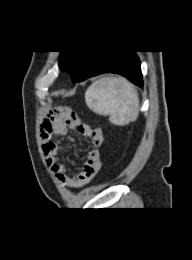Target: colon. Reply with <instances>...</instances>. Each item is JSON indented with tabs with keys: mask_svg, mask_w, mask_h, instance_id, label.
<instances>
[{
	"mask_svg": "<svg viewBox=\"0 0 192 260\" xmlns=\"http://www.w3.org/2000/svg\"><path fill=\"white\" fill-rule=\"evenodd\" d=\"M66 114H67L66 109H62V110L54 111L51 116H54V115H63L64 116Z\"/></svg>",
	"mask_w": 192,
	"mask_h": 260,
	"instance_id": "colon-1",
	"label": "colon"
}]
</instances>
